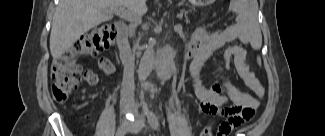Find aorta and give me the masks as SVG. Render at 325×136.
<instances>
[{
	"label": "aorta",
	"mask_w": 325,
	"mask_h": 136,
	"mask_svg": "<svg viewBox=\"0 0 325 136\" xmlns=\"http://www.w3.org/2000/svg\"><path fill=\"white\" fill-rule=\"evenodd\" d=\"M154 45L155 43L150 39L145 46V51L138 68V78L141 83L146 81L152 71L155 59ZM145 110L147 109L145 108Z\"/></svg>",
	"instance_id": "762f6f07"
}]
</instances>
